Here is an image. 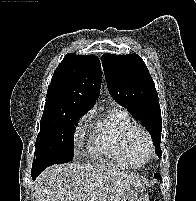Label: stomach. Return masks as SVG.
I'll use <instances>...</instances> for the list:
<instances>
[{
    "instance_id": "1",
    "label": "stomach",
    "mask_w": 196,
    "mask_h": 201,
    "mask_svg": "<svg viewBox=\"0 0 196 201\" xmlns=\"http://www.w3.org/2000/svg\"><path fill=\"white\" fill-rule=\"evenodd\" d=\"M120 201H139V200L136 191L132 188H127Z\"/></svg>"
}]
</instances>
